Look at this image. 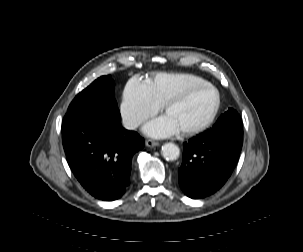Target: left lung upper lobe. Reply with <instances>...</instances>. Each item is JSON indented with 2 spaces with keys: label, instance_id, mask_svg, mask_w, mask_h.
I'll return each instance as SVG.
<instances>
[{
  "label": "left lung upper lobe",
  "instance_id": "left-lung-upper-lobe-1",
  "mask_svg": "<svg viewBox=\"0 0 303 252\" xmlns=\"http://www.w3.org/2000/svg\"><path fill=\"white\" fill-rule=\"evenodd\" d=\"M209 136L216 135H240L243 136L242 120L238 112L229 108L220 116L215 125L204 132Z\"/></svg>",
  "mask_w": 303,
  "mask_h": 252
}]
</instances>
